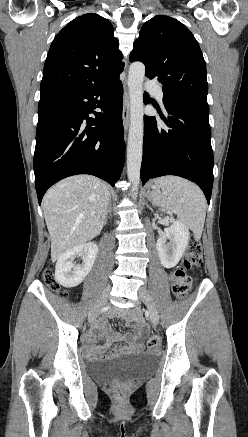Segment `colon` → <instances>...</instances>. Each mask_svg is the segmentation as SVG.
Segmentation results:
<instances>
[{
  "label": "colon",
  "instance_id": "obj_1",
  "mask_svg": "<svg viewBox=\"0 0 248 437\" xmlns=\"http://www.w3.org/2000/svg\"><path fill=\"white\" fill-rule=\"evenodd\" d=\"M202 263V246L201 243L195 239L190 240L187 251L185 254V258L183 261V265L177 268L171 274L172 280V290L174 294L180 298L184 297L190 288L192 279L187 274V270L198 267ZM44 281L47 286L52 290L58 293L60 298L66 299L67 294L63 291H59L58 286L55 284L53 272L51 269L47 268L43 273ZM160 344V340L156 336L150 337L146 346L149 349H156ZM113 393L115 397L119 400H122L126 396V391L122 386H115L113 388Z\"/></svg>",
  "mask_w": 248,
  "mask_h": 437
}]
</instances>
